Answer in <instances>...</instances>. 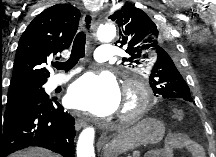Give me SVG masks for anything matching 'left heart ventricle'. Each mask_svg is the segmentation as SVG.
I'll use <instances>...</instances> for the list:
<instances>
[{
	"label": "left heart ventricle",
	"mask_w": 216,
	"mask_h": 157,
	"mask_svg": "<svg viewBox=\"0 0 216 157\" xmlns=\"http://www.w3.org/2000/svg\"><path fill=\"white\" fill-rule=\"evenodd\" d=\"M127 105H128V104L125 103V101H124V103H123L122 106H121V109L124 108V107L127 106Z\"/></svg>",
	"instance_id": "obj_1"
}]
</instances>
